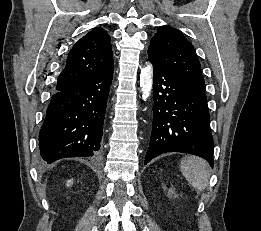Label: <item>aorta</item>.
<instances>
[{
  "label": "aorta",
  "mask_w": 261,
  "mask_h": 231,
  "mask_svg": "<svg viewBox=\"0 0 261 231\" xmlns=\"http://www.w3.org/2000/svg\"><path fill=\"white\" fill-rule=\"evenodd\" d=\"M153 84V67L149 63L145 68L141 70L140 74V87L142 90V98L146 100L151 93Z\"/></svg>",
  "instance_id": "obj_1"
}]
</instances>
